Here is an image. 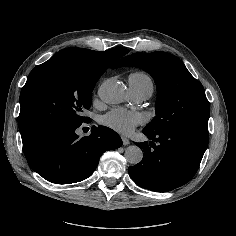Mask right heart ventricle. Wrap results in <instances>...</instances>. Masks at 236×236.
Masks as SVG:
<instances>
[{
	"label": "right heart ventricle",
	"instance_id": "obj_1",
	"mask_svg": "<svg viewBox=\"0 0 236 236\" xmlns=\"http://www.w3.org/2000/svg\"><path fill=\"white\" fill-rule=\"evenodd\" d=\"M129 86L131 92L141 91L146 93L149 97L152 95L154 90V83L152 78L145 72H133L129 75Z\"/></svg>",
	"mask_w": 236,
	"mask_h": 236
}]
</instances>
